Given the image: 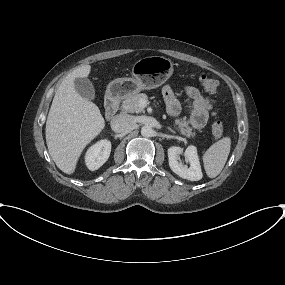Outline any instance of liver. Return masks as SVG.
I'll return each mask as SVG.
<instances>
[{"mask_svg": "<svg viewBox=\"0 0 285 285\" xmlns=\"http://www.w3.org/2000/svg\"><path fill=\"white\" fill-rule=\"evenodd\" d=\"M91 66L69 73L58 87L46 121V142L50 156L66 174L74 173L83 149L104 129L99 108L75 90L74 80L86 78Z\"/></svg>", "mask_w": 285, "mask_h": 285, "instance_id": "liver-1", "label": "liver"}]
</instances>
